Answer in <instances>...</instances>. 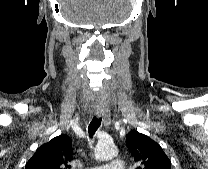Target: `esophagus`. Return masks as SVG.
Masks as SVG:
<instances>
[{
	"mask_svg": "<svg viewBox=\"0 0 208 169\" xmlns=\"http://www.w3.org/2000/svg\"><path fill=\"white\" fill-rule=\"evenodd\" d=\"M95 114L98 118H102L104 126H108L110 124V111L107 107L97 106Z\"/></svg>",
	"mask_w": 208,
	"mask_h": 169,
	"instance_id": "obj_1",
	"label": "esophagus"
}]
</instances>
